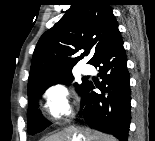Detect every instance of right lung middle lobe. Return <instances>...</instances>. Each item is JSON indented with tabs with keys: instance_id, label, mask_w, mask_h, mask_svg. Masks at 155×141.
Segmentation results:
<instances>
[{
	"instance_id": "obj_1",
	"label": "right lung middle lobe",
	"mask_w": 155,
	"mask_h": 141,
	"mask_svg": "<svg viewBox=\"0 0 155 141\" xmlns=\"http://www.w3.org/2000/svg\"><path fill=\"white\" fill-rule=\"evenodd\" d=\"M73 81L72 72H65L62 74H58L49 78L42 80L41 82L33 85L28 88V112H27V122H28V133H32L35 131H42L45 127L49 125L41 115L38 110V100L41 98V95L44 91L55 84H70ZM87 81H82L81 84L75 83V87L77 92L80 94L83 87L86 85Z\"/></svg>"
}]
</instances>
